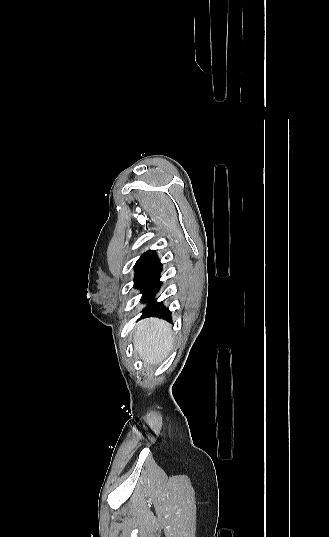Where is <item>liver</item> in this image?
Returning a JSON list of instances; mask_svg holds the SVG:
<instances>
[{
	"instance_id": "liver-1",
	"label": "liver",
	"mask_w": 329,
	"mask_h": 537,
	"mask_svg": "<svg viewBox=\"0 0 329 537\" xmlns=\"http://www.w3.org/2000/svg\"><path fill=\"white\" fill-rule=\"evenodd\" d=\"M135 351L148 364L167 357L173 346L171 326L161 319H147L136 325Z\"/></svg>"
}]
</instances>
